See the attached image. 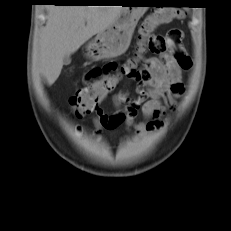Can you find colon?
<instances>
[{"label":"colon","mask_w":231,"mask_h":231,"mask_svg":"<svg viewBox=\"0 0 231 231\" xmlns=\"http://www.w3.org/2000/svg\"><path fill=\"white\" fill-rule=\"evenodd\" d=\"M182 17L183 12L177 8H159L149 14L139 27L136 56L120 65L117 72L93 80L71 97L70 105L76 116L82 117L99 109V104L116 88L121 77L141 79L139 57L148 51L161 53L166 50L164 38L155 35V30Z\"/></svg>","instance_id":"1"}]
</instances>
